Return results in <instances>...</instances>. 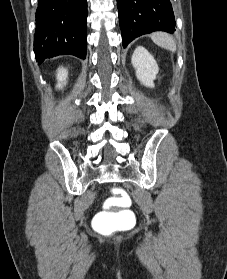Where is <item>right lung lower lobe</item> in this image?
<instances>
[{
    "instance_id": "obj_1",
    "label": "right lung lower lobe",
    "mask_w": 227,
    "mask_h": 279,
    "mask_svg": "<svg viewBox=\"0 0 227 279\" xmlns=\"http://www.w3.org/2000/svg\"><path fill=\"white\" fill-rule=\"evenodd\" d=\"M87 0H38L34 52L38 64L62 54L86 58Z\"/></svg>"
}]
</instances>
